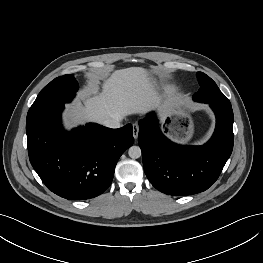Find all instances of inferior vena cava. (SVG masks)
Wrapping results in <instances>:
<instances>
[{
	"label": "inferior vena cava",
	"instance_id": "1",
	"mask_svg": "<svg viewBox=\"0 0 263 263\" xmlns=\"http://www.w3.org/2000/svg\"><path fill=\"white\" fill-rule=\"evenodd\" d=\"M123 117L120 115H115L112 118L106 119L103 121V125L109 128H120L122 126L121 121Z\"/></svg>",
	"mask_w": 263,
	"mask_h": 263
}]
</instances>
